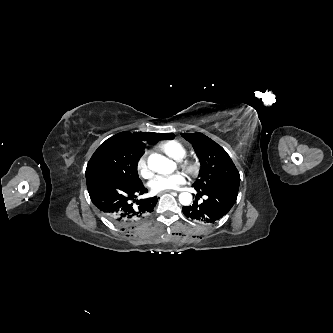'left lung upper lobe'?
<instances>
[{"mask_svg": "<svg viewBox=\"0 0 333 333\" xmlns=\"http://www.w3.org/2000/svg\"><path fill=\"white\" fill-rule=\"evenodd\" d=\"M181 135L192 144L201 163L199 179L193 184L197 191L239 188V172L220 145L199 132ZM227 201V196L217 199V203L220 204Z\"/></svg>", "mask_w": 333, "mask_h": 333, "instance_id": "5c2ea615", "label": "left lung upper lobe"}]
</instances>
